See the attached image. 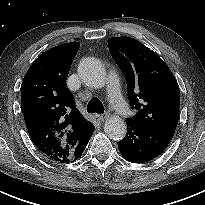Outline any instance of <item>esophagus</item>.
Wrapping results in <instances>:
<instances>
[{
    "mask_svg": "<svg viewBox=\"0 0 205 205\" xmlns=\"http://www.w3.org/2000/svg\"><path fill=\"white\" fill-rule=\"evenodd\" d=\"M107 117H108L107 113L97 115V118H98L99 121H104Z\"/></svg>",
    "mask_w": 205,
    "mask_h": 205,
    "instance_id": "34e87169",
    "label": "esophagus"
}]
</instances>
